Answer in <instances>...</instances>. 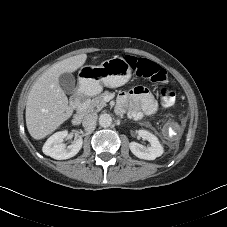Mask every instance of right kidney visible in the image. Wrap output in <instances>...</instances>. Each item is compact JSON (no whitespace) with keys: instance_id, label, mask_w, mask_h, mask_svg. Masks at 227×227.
<instances>
[{"instance_id":"ca27d5eb","label":"right kidney","mask_w":227,"mask_h":227,"mask_svg":"<svg viewBox=\"0 0 227 227\" xmlns=\"http://www.w3.org/2000/svg\"><path fill=\"white\" fill-rule=\"evenodd\" d=\"M67 135V130L54 133L45 142L42 148L43 153L57 160L69 159L75 156L80 151L83 140L81 138L76 139L71 145L66 147L63 140Z\"/></svg>"}]
</instances>
